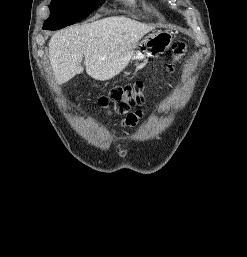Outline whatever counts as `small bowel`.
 I'll list each match as a JSON object with an SVG mask.
<instances>
[{"label": "small bowel", "mask_w": 247, "mask_h": 257, "mask_svg": "<svg viewBox=\"0 0 247 257\" xmlns=\"http://www.w3.org/2000/svg\"><path fill=\"white\" fill-rule=\"evenodd\" d=\"M141 116V112L137 111L135 113H131L126 117L125 123L127 125H134L137 119Z\"/></svg>", "instance_id": "small-bowel-1"}]
</instances>
